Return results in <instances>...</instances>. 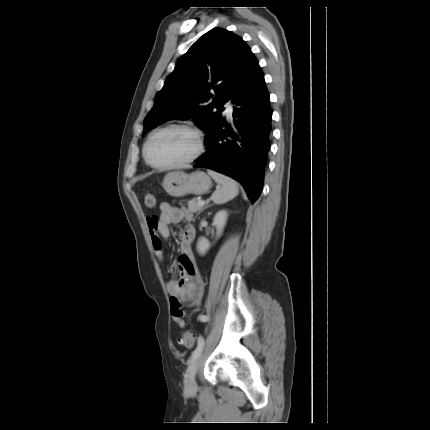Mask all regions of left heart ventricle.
I'll use <instances>...</instances> for the list:
<instances>
[{
	"instance_id": "obj_1",
	"label": "left heart ventricle",
	"mask_w": 430,
	"mask_h": 430,
	"mask_svg": "<svg viewBox=\"0 0 430 430\" xmlns=\"http://www.w3.org/2000/svg\"><path fill=\"white\" fill-rule=\"evenodd\" d=\"M196 150V137L184 129H170L157 135L149 147L151 160L160 165L173 164L190 157Z\"/></svg>"
}]
</instances>
